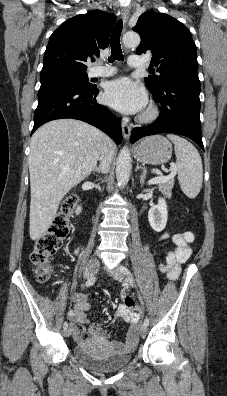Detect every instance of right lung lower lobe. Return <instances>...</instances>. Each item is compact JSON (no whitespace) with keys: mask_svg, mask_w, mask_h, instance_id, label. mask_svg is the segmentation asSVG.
<instances>
[{"mask_svg":"<svg viewBox=\"0 0 227 396\" xmlns=\"http://www.w3.org/2000/svg\"><path fill=\"white\" fill-rule=\"evenodd\" d=\"M98 93L96 86L83 88L67 82L41 85L32 133L48 121L73 118L99 128L116 144H120L122 140L120 121L107 107L97 103Z\"/></svg>","mask_w":227,"mask_h":396,"instance_id":"obj_1","label":"right lung lower lobe"}]
</instances>
